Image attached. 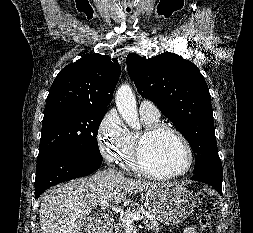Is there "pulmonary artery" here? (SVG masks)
I'll return each mask as SVG.
<instances>
[{
    "mask_svg": "<svg viewBox=\"0 0 253 233\" xmlns=\"http://www.w3.org/2000/svg\"><path fill=\"white\" fill-rule=\"evenodd\" d=\"M139 113L141 116L157 118L160 116L159 109L149 100H142L139 104Z\"/></svg>",
    "mask_w": 253,
    "mask_h": 233,
    "instance_id": "obj_1",
    "label": "pulmonary artery"
}]
</instances>
